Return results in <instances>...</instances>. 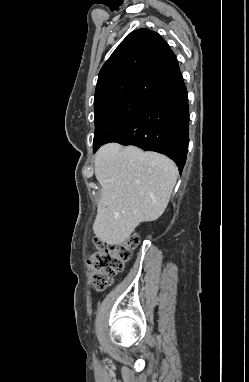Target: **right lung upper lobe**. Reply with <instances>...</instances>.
Segmentation results:
<instances>
[{"mask_svg": "<svg viewBox=\"0 0 249 382\" xmlns=\"http://www.w3.org/2000/svg\"><path fill=\"white\" fill-rule=\"evenodd\" d=\"M176 56L156 32H131L100 70L94 108L126 97L152 99L181 77Z\"/></svg>", "mask_w": 249, "mask_h": 382, "instance_id": "1", "label": "right lung upper lobe"}]
</instances>
